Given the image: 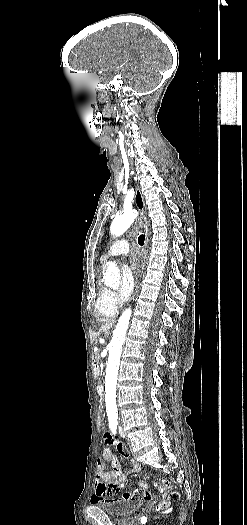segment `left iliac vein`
<instances>
[{"label": "left iliac vein", "mask_w": 247, "mask_h": 525, "mask_svg": "<svg viewBox=\"0 0 247 525\" xmlns=\"http://www.w3.org/2000/svg\"><path fill=\"white\" fill-rule=\"evenodd\" d=\"M118 431H119V435H120L121 437H125V433H124L122 427H119V430H118Z\"/></svg>", "instance_id": "4c4485c4"}]
</instances>
